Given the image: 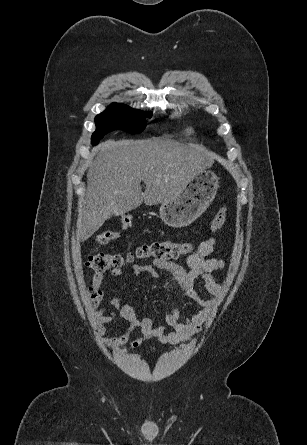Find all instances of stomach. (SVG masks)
Returning a JSON list of instances; mask_svg holds the SVG:
<instances>
[{"instance_id": "0dacf381", "label": "stomach", "mask_w": 307, "mask_h": 445, "mask_svg": "<svg viewBox=\"0 0 307 445\" xmlns=\"http://www.w3.org/2000/svg\"><path fill=\"white\" fill-rule=\"evenodd\" d=\"M219 188V176L212 170H199L184 190L171 200L161 202L159 214L164 225L173 229L189 227L205 212Z\"/></svg>"}]
</instances>
